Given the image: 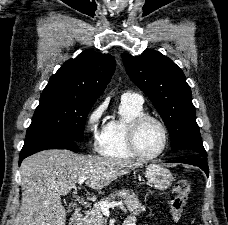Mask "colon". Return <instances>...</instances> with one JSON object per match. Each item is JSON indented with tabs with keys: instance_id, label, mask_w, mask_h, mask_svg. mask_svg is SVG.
<instances>
[{
	"instance_id": "colon-1",
	"label": "colon",
	"mask_w": 228,
	"mask_h": 225,
	"mask_svg": "<svg viewBox=\"0 0 228 225\" xmlns=\"http://www.w3.org/2000/svg\"><path fill=\"white\" fill-rule=\"evenodd\" d=\"M191 185L186 179L176 181L172 187L173 198L171 201L170 215L176 222L180 221L190 195Z\"/></svg>"
}]
</instances>
